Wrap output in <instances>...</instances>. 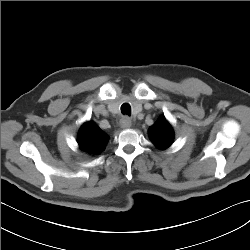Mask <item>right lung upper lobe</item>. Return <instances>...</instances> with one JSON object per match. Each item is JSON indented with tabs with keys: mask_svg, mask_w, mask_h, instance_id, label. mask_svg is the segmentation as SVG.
I'll return each mask as SVG.
<instances>
[{
	"mask_svg": "<svg viewBox=\"0 0 250 250\" xmlns=\"http://www.w3.org/2000/svg\"><path fill=\"white\" fill-rule=\"evenodd\" d=\"M108 141V137L94 123H85L78 134L79 147L89 153L98 154L101 152Z\"/></svg>",
	"mask_w": 250,
	"mask_h": 250,
	"instance_id": "cb5924a9",
	"label": "right lung upper lobe"
}]
</instances>
